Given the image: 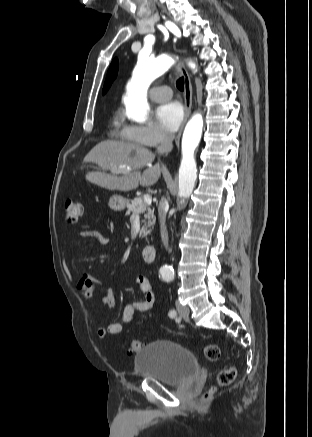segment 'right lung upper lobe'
Instances as JSON below:
<instances>
[{"mask_svg":"<svg viewBox=\"0 0 312 437\" xmlns=\"http://www.w3.org/2000/svg\"><path fill=\"white\" fill-rule=\"evenodd\" d=\"M117 70H118V60L114 59L107 73V78L105 80V84L103 88V94L109 89L112 81L116 78Z\"/></svg>","mask_w":312,"mask_h":437,"instance_id":"obj_1","label":"right lung upper lobe"}]
</instances>
